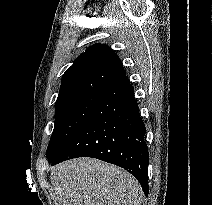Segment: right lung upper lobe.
I'll list each match as a JSON object with an SVG mask.
<instances>
[{
    "label": "right lung upper lobe",
    "instance_id": "obj_1",
    "mask_svg": "<svg viewBox=\"0 0 212 205\" xmlns=\"http://www.w3.org/2000/svg\"><path fill=\"white\" fill-rule=\"evenodd\" d=\"M125 75L117 54L107 45L94 44L64 73L55 106L79 97L102 94Z\"/></svg>",
    "mask_w": 212,
    "mask_h": 205
}]
</instances>
